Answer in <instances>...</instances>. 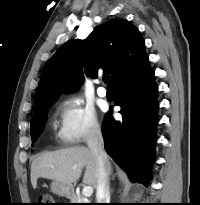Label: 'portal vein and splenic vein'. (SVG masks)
<instances>
[{"label": "portal vein and splenic vein", "instance_id": "1", "mask_svg": "<svg viewBox=\"0 0 200 205\" xmlns=\"http://www.w3.org/2000/svg\"><path fill=\"white\" fill-rule=\"evenodd\" d=\"M93 194L92 186H85L82 190V195L85 197H90Z\"/></svg>", "mask_w": 200, "mask_h": 205}]
</instances>
